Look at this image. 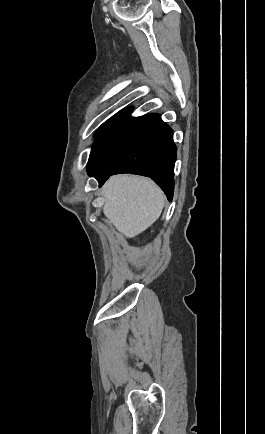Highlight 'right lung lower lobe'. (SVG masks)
Returning a JSON list of instances; mask_svg holds the SVG:
<instances>
[{"label":"right lung lower lobe","mask_w":265,"mask_h":434,"mask_svg":"<svg viewBox=\"0 0 265 434\" xmlns=\"http://www.w3.org/2000/svg\"><path fill=\"white\" fill-rule=\"evenodd\" d=\"M131 112L127 108L102 125L89 157L88 174L100 187L113 174L148 176L171 201L176 160L173 131L158 114L131 117Z\"/></svg>","instance_id":"obj_1"}]
</instances>
